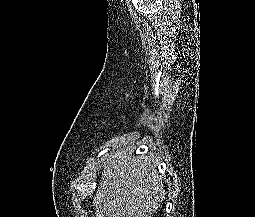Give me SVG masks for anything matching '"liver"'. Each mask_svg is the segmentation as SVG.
Listing matches in <instances>:
<instances>
[{"mask_svg": "<svg viewBox=\"0 0 255 217\" xmlns=\"http://www.w3.org/2000/svg\"><path fill=\"white\" fill-rule=\"evenodd\" d=\"M163 195V184L152 159L125 151L104 166L92 206L96 217H151Z\"/></svg>", "mask_w": 255, "mask_h": 217, "instance_id": "1", "label": "liver"}]
</instances>
